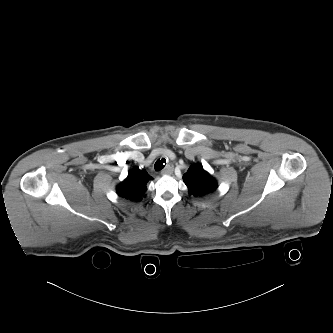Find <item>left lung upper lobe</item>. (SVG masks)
Returning a JSON list of instances; mask_svg holds the SVG:
<instances>
[{"instance_id": "obj_1", "label": "left lung upper lobe", "mask_w": 333, "mask_h": 333, "mask_svg": "<svg viewBox=\"0 0 333 333\" xmlns=\"http://www.w3.org/2000/svg\"><path fill=\"white\" fill-rule=\"evenodd\" d=\"M183 181L194 197L212 194L217 189V181L203 169L201 164H193L183 175Z\"/></svg>"}]
</instances>
